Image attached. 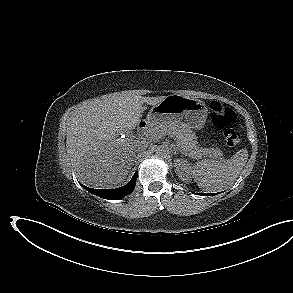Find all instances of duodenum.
Here are the masks:
<instances>
[{
    "label": "duodenum",
    "mask_w": 293,
    "mask_h": 293,
    "mask_svg": "<svg viewBox=\"0 0 293 293\" xmlns=\"http://www.w3.org/2000/svg\"><path fill=\"white\" fill-rule=\"evenodd\" d=\"M148 127H149V122L142 120V121H140V123L138 125V132L140 134H143L147 131Z\"/></svg>",
    "instance_id": "obj_1"
}]
</instances>
